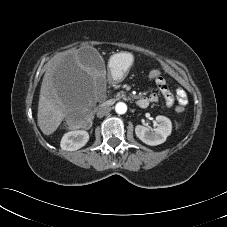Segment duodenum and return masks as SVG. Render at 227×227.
Here are the masks:
<instances>
[{
    "label": "duodenum",
    "instance_id": "obj_1",
    "mask_svg": "<svg viewBox=\"0 0 227 227\" xmlns=\"http://www.w3.org/2000/svg\"><path fill=\"white\" fill-rule=\"evenodd\" d=\"M137 105L140 107V108H146L149 103L148 101L145 99V98H140L138 101H137Z\"/></svg>",
    "mask_w": 227,
    "mask_h": 227
}]
</instances>
